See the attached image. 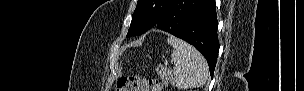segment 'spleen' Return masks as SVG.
<instances>
[{
	"label": "spleen",
	"instance_id": "3e777b00",
	"mask_svg": "<svg viewBox=\"0 0 304 91\" xmlns=\"http://www.w3.org/2000/svg\"><path fill=\"white\" fill-rule=\"evenodd\" d=\"M168 44L173 47L171 60L175 71L168 72L173 85L181 89L194 88L205 84L208 65L205 58L187 42L170 36Z\"/></svg>",
	"mask_w": 304,
	"mask_h": 91
}]
</instances>
